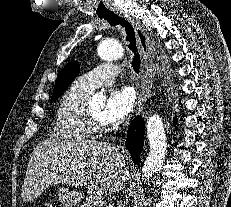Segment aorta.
<instances>
[{"label": "aorta", "instance_id": "obj_1", "mask_svg": "<svg viewBox=\"0 0 231 207\" xmlns=\"http://www.w3.org/2000/svg\"><path fill=\"white\" fill-rule=\"evenodd\" d=\"M98 56L105 61L118 60L124 55V47L113 39L101 41L97 49ZM104 96L96 94L89 103L103 102ZM147 137L150 144L149 154L142 167V181H148L162 167L166 155V135L161 118L152 115L147 121Z\"/></svg>", "mask_w": 231, "mask_h": 207}]
</instances>
